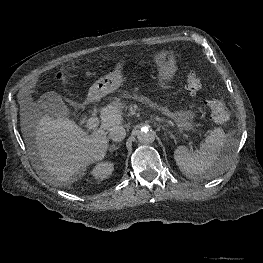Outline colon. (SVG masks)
Wrapping results in <instances>:
<instances>
[{
    "label": "colon",
    "mask_w": 263,
    "mask_h": 263,
    "mask_svg": "<svg viewBox=\"0 0 263 263\" xmlns=\"http://www.w3.org/2000/svg\"><path fill=\"white\" fill-rule=\"evenodd\" d=\"M187 88L192 94H196L201 90L200 79L193 72L187 75ZM205 105L210 109L211 117L215 123L226 124L228 122L229 113L221 100L207 98L205 99Z\"/></svg>",
    "instance_id": "colon-1"
}]
</instances>
